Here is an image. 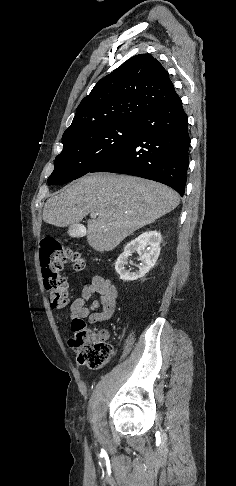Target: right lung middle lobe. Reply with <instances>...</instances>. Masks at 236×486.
Returning <instances> with one entry per match:
<instances>
[{
    "label": "right lung middle lobe",
    "mask_w": 236,
    "mask_h": 486,
    "mask_svg": "<svg viewBox=\"0 0 236 486\" xmlns=\"http://www.w3.org/2000/svg\"><path fill=\"white\" fill-rule=\"evenodd\" d=\"M136 127V123L114 125L63 140L48 184H64L91 172L127 145L135 137Z\"/></svg>",
    "instance_id": "obj_1"
}]
</instances>
